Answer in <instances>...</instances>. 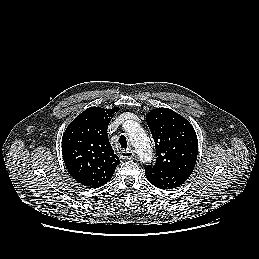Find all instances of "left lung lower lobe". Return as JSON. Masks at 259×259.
Masks as SVG:
<instances>
[{"label": "left lung lower lobe", "instance_id": "left-lung-lower-lobe-1", "mask_svg": "<svg viewBox=\"0 0 259 259\" xmlns=\"http://www.w3.org/2000/svg\"><path fill=\"white\" fill-rule=\"evenodd\" d=\"M145 175L151 184L163 190L178 187L186 180L175 173L166 171L153 172L145 169Z\"/></svg>", "mask_w": 259, "mask_h": 259}]
</instances>
